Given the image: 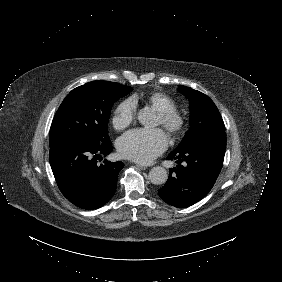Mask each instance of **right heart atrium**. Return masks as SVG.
Returning a JSON list of instances; mask_svg holds the SVG:
<instances>
[{
  "label": "right heart atrium",
  "mask_w": 282,
  "mask_h": 282,
  "mask_svg": "<svg viewBox=\"0 0 282 282\" xmlns=\"http://www.w3.org/2000/svg\"><path fill=\"white\" fill-rule=\"evenodd\" d=\"M134 115V108L129 104V102L121 104L115 111L113 118L115 128L122 129L128 126L133 121Z\"/></svg>",
  "instance_id": "obj_1"
}]
</instances>
